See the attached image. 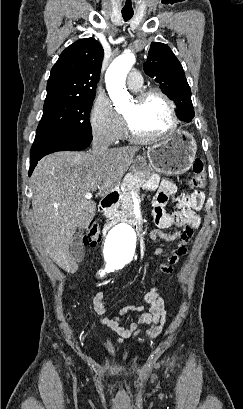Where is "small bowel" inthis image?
<instances>
[{"mask_svg":"<svg viewBox=\"0 0 243 409\" xmlns=\"http://www.w3.org/2000/svg\"><path fill=\"white\" fill-rule=\"evenodd\" d=\"M157 186L158 181L156 179L151 181L150 187L155 188ZM176 192L177 187L173 182L163 180L159 183L158 190L153 199L152 215L158 230L153 232L152 237L177 241V246L170 252L163 249H158L155 252L156 255L164 258V261L159 266V271L168 275L174 272L175 266L187 253V245L201 222L196 211L202 208L204 202V194L200 191L182 194L178 198L175 208L167 211L166 205L168 200ZM172 227H178L181 230L172 234H165L162 231ZM144 300L150 305L148 312L141 314L128 328L121 325L119 316L132 312H142L145 308L143 305H128L116 310L117 315L106 316L107 303L103 294L98 293L93 298L91 309L100 315V322L102 324L108 326L119 335L118 342L129 338H137L138 336L152 339L162 330L163 318L166 313L165 300L159 294L157 287H150L144 296Z\"/></svg>","mask_w":243,"mask_h":409,"instance_id":"small-bowel-1","label":"small bowel"}]
</instances>
